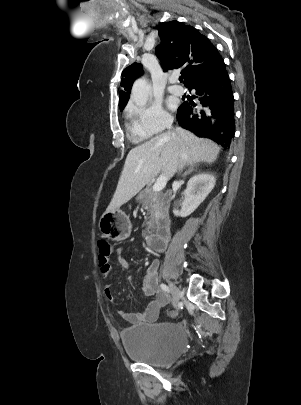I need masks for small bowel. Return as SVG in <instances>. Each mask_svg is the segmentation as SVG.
<instances>
[{"instance_id":"1","label":"small bowel","mask_w":301,"mask_h":405,"mask_svg":"<svg viewBox=\"0 0 301 405\" xmlns=\"http://www.w3.org/2000/svg\"><path fill=\"white\" fill-rule=\"evenodd\" d=\"M114 253L118 255L120 267H122L123 269H127L129 267L127 260L122 256V250L119 248L115 250L111 249V253L109 256L107 257L99 256L100 272L103 278H106L110 273L111 267L109 260L111 255ZM157 271H158L157 260L152 261L145 270L142 290L146 297L152 298V300L149 302L146 308L141 312H132V313L125 312L122 310L118 311V313L128 322L132 324H139L143 322L149 323L154 322L158 319L161 309L166 305L168 298L166 294L161 292L157 287ZM103 292L108 301L110 302L114 301L113 291L109 285L104 286Z\"/></svg>"}]
</instances>
